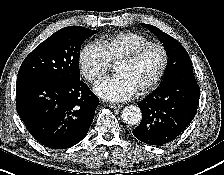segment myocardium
<instances>
[{
	"mask_svg": "<svg viewBox=\"0 0 224 175\" xmlns=\"http://www.w3.org/2000/svg\"><path fill=\"white\" fill-rule=\"evenodd\" d=\"M150 48H157L160 51V53H161V64H160V67H159L156 75L154 76V78L149 83H147L143 87L139 88L137 90L138 93H146L148 91H151L162 80V78H163V76L166 72V69H167V66H168V61H169L168 52H167V49L165 48V46L162 45L161 43H158V42H147V43L137 47L131 53H129L128 55H126L125 57L121 58L120 60H118L116 62V64L131 65L134 62H136L138 60V58L146 50H148Z\"/></svg>",
	"mask_w": 224,
	"mask_h": 175,
	"instance_id": "obj_1",
	"label": "myocardium"
}]
</instances>
